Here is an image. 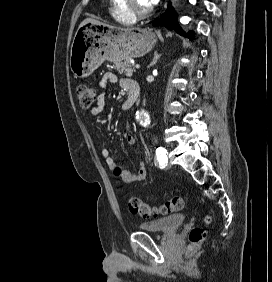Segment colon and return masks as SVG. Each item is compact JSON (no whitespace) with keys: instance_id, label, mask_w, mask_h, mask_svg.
<instances>
[{"instance_id":"obj_1","label":"colon","mask_w":272,"mask_h":282,"mask_svg":"<svg viewBox=\"0 0 272 282\" xmlns=\"http://www.w3.org/2000/svg\"><path fill=\"white\" fill-rule=\"evenodd\" d=\"M79 104L82 108L88 109L92 107L97 100L96 89L87 85H79L75 90ZM130 212L139 214L143 217H157L159 215H169L181 210L185 205L184 196H176L164 202L160 206H150L137 197H130L127 200ZM210 216H206L204 222H210ZM190 247L189 253H194L205 239V230L201 226L193 228L189 235Z\"/></svg>"}]
</instances>
